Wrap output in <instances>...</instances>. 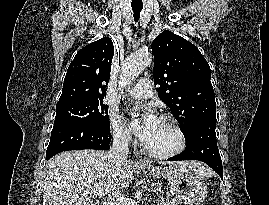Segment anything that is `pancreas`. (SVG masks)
I'll return each instance as SVG.
<instances>
[{"mask_svg": "<svg viewBox=\"0 0 269 205\" xmlns=\"http://www.w3.org/2000/svg\"><path fill=\"white\" fill-rule=\"evenodd\" d=\"M157 205H178V203L168 198H162L157 202Z\"/></svg>", "mask_w": 269, "mask_h": 205, "instance_id": "obj_1", "label": "pancreas"}]
</instances>
